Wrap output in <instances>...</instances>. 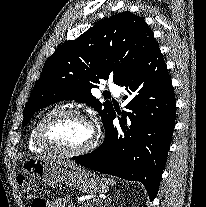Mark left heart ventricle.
<instances>
[{
	"mask_svg": "<svg viewBox=\"0 0 206 207\" xmlns=\"http://www.w3.org/2000/svg\"><path fill=\"white\" fill-rule=\"evenodd\" d=\"M92 136L91 126L77 118L62 119L46 130V137L51 143L68 151L83 148L91 141Z\"/></svg>",
	"mask_w": 206,
	"mask_h": 207,
	"instance_id": "b2bd125f",
	"label": "left heart ventricle"
}]
</instances>
